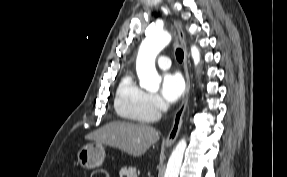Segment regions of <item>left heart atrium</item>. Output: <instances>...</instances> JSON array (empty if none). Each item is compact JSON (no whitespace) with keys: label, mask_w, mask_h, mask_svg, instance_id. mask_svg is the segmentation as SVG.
I'll use <instances>...</instances> for the list:
<instances>
[{"label":"left heart atrium","mask_w":287,"mask_h":177,"mask_svg":"<svg viewBox=\"0 0 287 177\" xmlns=\"http://www.w3.org/2000/svg\"><path fill=\"white\" fill-rule=\"evenodd\" d=\"M185 91V83L180 73L168 72L163 75L161 95L168 102L177 101Z\"/></svg>","instance_id":"1"}]
</instances>
